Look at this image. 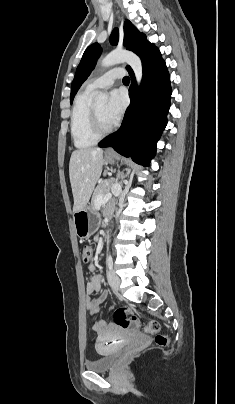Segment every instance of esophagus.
<instances>
[{
  "label": "esophagus",
  "instance_id": "34e87169",
  "mask_svg": "<svg viewBox=\"0 0 235 404\" xmlns=\"http://www.w3.org/2000/svg\"><path fill=\"white\" fill-rule=\"evenodd\" d=\"M105 154L107 155H111L114 154V149L112 147H108L105 151Z\"/></svg>",
  "mask_w": 235,
  "mask_h": 404
}]
</instances>
